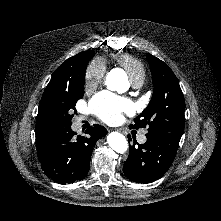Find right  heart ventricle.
<instances>
[{
	"label": "right heart ventricle",
	"instance_id": "e07e8e85",
	"mask_svg": "<svg viewBox=\"0 0 221 221\" xmlns=\"http://www.w3.org/2000/svg\"><path fill=\"white\" fill-rule=\"evenodd\" d=\"M114 60L117 64L126 70L132 84L137 82H144L146 71L141 61L126 54L116 55L114 56Z\"/></svg>",
	"mask_w": 221,
	"mask_h": 221
}]
</instances>
